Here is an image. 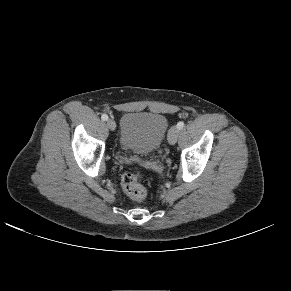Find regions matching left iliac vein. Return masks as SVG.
I'll list each match as a JSON object with an SVG mask.
<instances>
[{"label":"left iliac vein","mask_w":291,"mask_h":291,"mask_svg":"<svg viewBox=\"0 0 291 291\" xmlns=\"http://www.w3.org/2000/svg\"><path fill=\"white\" fill-rule=\"evenodd\" d=\"M179 136V129L177 126L171 127L168 133V142L171 145H174L178 139Z\"/></svg>","instance_id":"obj_1"}]
</instances>
